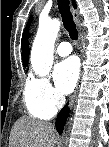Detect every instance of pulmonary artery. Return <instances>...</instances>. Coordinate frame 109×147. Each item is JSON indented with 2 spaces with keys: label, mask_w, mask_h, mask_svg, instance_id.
<instances>
[{
  "label": "pulmonary artery",
  "mask_w": 109,
  "mask_h": 147,
  "mask_svg": "<svg viewBox=\"0 0 109 147\" xmlns=\"http://www.w3.org/2000/svg\"><path fill=\"white\" fill-rule=\"evenodd\" d=\"M55 52L61 57L68 56L72 52V46L69 42H61L57 45ZM51 117L47 118L50 119Z\"/></svg>",
  "instance_id": "e3ab8cb5"
}]
</instances>
